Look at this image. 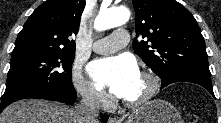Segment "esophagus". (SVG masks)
Returning a JSON list of instances; mask_svg holds the SVG:
<instances>
[{
  "mask_svg": "<svg viewBox=\"0 0 221 123\" xmlns=\"http://www.w3.org/2000/svg\"><path fill=\"white\" fill-rule=\"evenodd\" d=\"M109 123H119V120L115 117L110 118Z\"/></svg>",
  "mask_w": 221,
  "mask_h": 123,
  "instance_id": "obj_1",
  "label": "esophagus"
}]
</instances>
